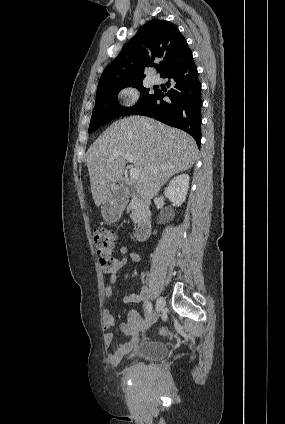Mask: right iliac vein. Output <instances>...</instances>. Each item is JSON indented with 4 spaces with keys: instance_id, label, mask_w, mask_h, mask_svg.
Returning a JSON list of instances; mask_svg holds the SVG:
<instances>
[{
    "instance_id": "1",
    "label": "right iliac vein",
    "mask_w": 285,
    "mask_h": 424,
    "mask_svg": "<svg viewBox=\"0 0 285 424\" xmlns=\"http://www.w3.org/2000/svg\"><path fill=\"white\" fill-rule=\"evenodd\" d=\"M164 307H165V300H164L163 297H159L157 302H156V312L153 313L152 316H151L153 322H155L157 320L158 315L164 309Z\"/></svg>"
}]
</instances>
